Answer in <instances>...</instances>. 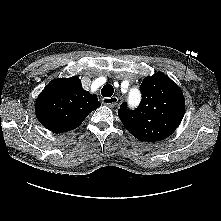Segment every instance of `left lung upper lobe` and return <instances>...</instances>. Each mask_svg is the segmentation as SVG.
<instances>
[{
  "mask_svg": "<svg viewBox=\"0 0 221 221\" xmlns=\"http://www.w3.org/2000/svg\"><path fill=\"white\" fill-rule=\"evenodd\" d=\"M142 100L136 110L123 103L118 116L128 131L141 141H159L171 135L185 113L180 88L159 72L146 77L140 86Z\"/></svg>",
  "mask_w": 221,
  "mask_h": 221,
  "instance_id": "1",
  "label": "left lung upper lobe"
}]
</instances>
